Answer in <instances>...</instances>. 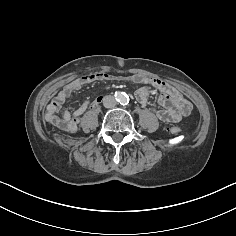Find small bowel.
<instances>
[{"mask_svg": "<svg viewBox=\"0 0 236 236\" xmlns=\"http://www.w3.org/2000/svg\"><path fill=\"white\" fill-rule=\"evenodd\" d=\"M120 79L106 73L87 74L68 82L51 100L48 104L45 120L54 128L63 132H75L80 122L81 116L89 107H97L102 101V96H97L92 101H85L82 105L74 111H61L64 102L77 90L90 85L97 81ZM127 81L143 84L142 87L136 90L135 98L142 104L146 105L148 102V95L150 93V86H153L163 95L160 97L161 109L155 110L156 117L165 123H175L181 120L185 115H188L192 110L191 103L186 100L180 92H178L170 84L159 80L152 79L147 76L135 74L125 78Z\"/></svg>", "mask_w": 236, "mask_h": 236, "instance_id": "1", "label": "small bowel"}]
</instances>
